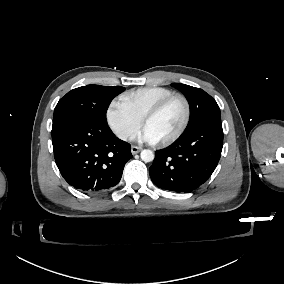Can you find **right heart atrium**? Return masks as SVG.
Instances as JSON below:
<instances>
[{
    "label": "right heart atrium",
    "mask_w": 284,
    "mask_h": 284,
    "mask_svg": "<svg viewBox=\"0 0 284 284\" xmlns=\"http://www.w3.org/2000/svg\"><path fill=\"white\" fill-rule=\"evenodd\" d=\"M105 118L112 134L122 142H128L141 125V119L121 106L118 100L109 103Z\"/></svg>",
    "instance_id": "d8ad5b80"
}]
</instances>
